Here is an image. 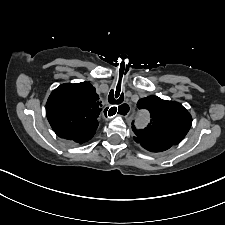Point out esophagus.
I'll use <instances>...</instances> for the list:
<instances>
[{"label":"esophagus","mask_w":225,"mask_h":225,"mask_svg":"<svg viewBox=\"0 0 225 225\" xmlns=\"http://www.w3.org/2000/svg\"><path fill=\"white\" fill-rule=\"evenodd\" d=\"M124 104H125L124 109L119 111V108H118L117 111H116V114H118L119 116H122V117H127L131 112V108H130L129 104H127V103H124ZM113 107L114 106H110L108 111L111 112L113 110L112 109Z\"/></svg>","instance_id":"34e87169"}]
</instances>
